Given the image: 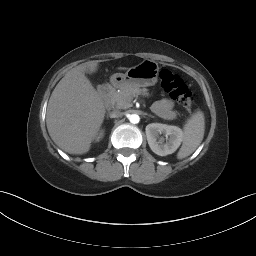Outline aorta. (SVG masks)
I'll return each mask as SVG.
<instances>
[{
  "mask_svg": "<svg viewBox=\"0 0 256 256\" xmlns=\"http://www.w3.org/2000/svg\"><path fill=\"white\" fill-rule=\"evenodd\" d=\"M129 121H130L131 123H133V124H137V123H139V121H140V117H139V115H137V114H131V115L129 116Z\"/></svg>",
  "mask_w": 256,
  "mask_h": 256,
  "instance_id": "obj_1",
  "label": "aorta"
}]
</instances>
